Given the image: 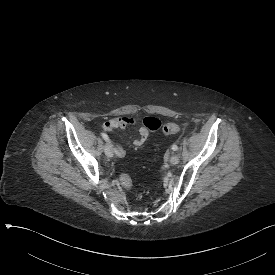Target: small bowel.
<instances>
[{
  "mask_svg": "<svg viewBox=\"0 0 275 275\" xmlns=\"http://www.w3.org/2000/svg\"><path fill=\"white\" fill-rule=\"evenodd\" d=\"M123 124L124 125H133L134 119L133 118H124L123 119L122 117H117L116 119H113V120L109 119L103 124V129L107 130L109 132H112L114 130H118L119 128H122ZM141 125L143 128L140 129V136H139V138H137L134 141V145L136 147H140L145 143V141L148 137V132L145 131V129L146 130H149V129L154 130L158 127L159 122L156 118L147 116L142 120ZM122 153H123V151L121 149H119V155H121Z\"/></svg>",
  "mask_w": 275,
  "mask_h": 275,
  "instance_id": "obj_1",
  "label": "small bowel"
}]
</instances>
